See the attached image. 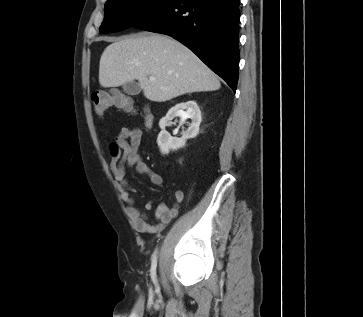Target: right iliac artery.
<instances>
[{
    "label": "right iliac artery",
    "mask_w": 363,
    "mask_h": 317,
    "mask_svg": "<svg viewBox=\"0 0 363 317\" xmlns=\"http://www.w3.org/2000/svg\"><path fill=\"white\" fill-rule=\"evenodd\" d=\"M156 266H157V251L154 252L151 262V277L156 280Z\"/></svg>",
    "instance_id": "right-iliac-artery-1"
}]
</instances>
